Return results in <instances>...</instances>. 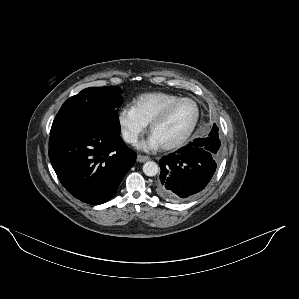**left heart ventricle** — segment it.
<instances>
[{
    "mask_svg": "<svg viewBox=\"0 0 299 299\" xmlns=\"http://www.w3.org/2000/svg\"><path fill=\"white\" fill-rule=\"evenodd\" d=\"M195 115V105L190 101H184L170 112L168 117L153 130L151 135L160 146L171 143L187 132L194 121Z\"/></svg>",
    "mask_w": 299,
    "mask_h": 299,
    "instance_id": "1",
    "label": "left heart ventricle"
}]
</instances>
